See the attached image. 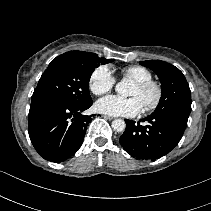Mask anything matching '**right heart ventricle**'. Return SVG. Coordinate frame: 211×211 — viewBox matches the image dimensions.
Segmentation results:
<instances>
[{"label": "right heart ventricle", "mask_w": 211, "mask_h": 211, "mask_svg": "<svg viewBox=\"0 0 211 211\" xmlns=\"http://www.w3.org/2000/svg\"><path fill=\"white\" fill-rule=\"evenodd\" d=\"M121 76L125 80L134 82L144 81L152 78V73L149 69L139 65H132L121 70Z\"/></svg>", "instance_id": "obj_1"}]
</instances>
